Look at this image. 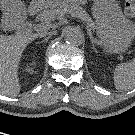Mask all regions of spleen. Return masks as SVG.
I'll return each instance as SVG.
<instances>
[{
	"mask_svg": "<svg viewBox=\"0 0 135 135\" xmlns=\"http://www.w3.org/2000/svg\"><path fill=\"white\" fill-rule=\"evenodd\" d=\"M114 85L117 90L128 91L135 87V59L119 64L114 71Z\"/></svg>",
	"mask_w": 135,
	"mask_h": 135,
	"instance_id": "1",
	"label": "spleen"
}]
</instances>
